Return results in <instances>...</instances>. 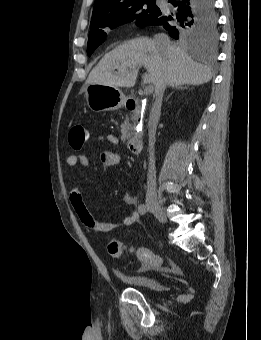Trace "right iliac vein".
Returning <instances> with one entry per match:
<instances>
[{"label": "right iliac vein", "mask_w": 261, "mask_h": 340, "mask_svg": "<svg viewBox=\"0 0 261 340\" xmlns=\"http://www.w3.org/2000/svg\"><path fill=\"white\" fill-rule=\"evenodd\" d=\"M147 206L150 212L154 214V216L158 219L159 222L166 223L167 221L166 214L156 201L148 200Z\"/></svg>", "instance_id": "obj_1"}]
</instances>
